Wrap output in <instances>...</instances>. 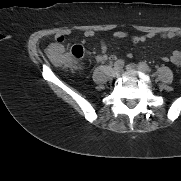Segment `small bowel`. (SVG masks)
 <instances>
[{
  "label": "small bowel",
  "instance_id": "c3829d8e",
  "mask_svg": "<svg viewBox=\"0 0 181 181\" xmlns=\"http://www.w3.org/2000/svg\"><path fill=\"white\" fill-rule=\"evenodd\" d=\"M66 35H67V33H65V32L59 33L56 36L57 43L61 44L62 41H59V39L65 38ZM114 36L116 38L123 39V38H127L129 36V34L124 31H117L114 33ZM153 36H154V34H152V33H148L145 35H133V36H131V41L133 44L144 43L147 40L151 39ZM180 36H181L180 33H175V32H169V33L162 35V37H164V38H176V37H180ZM85 37L93 38V37H95V33L93 31H86ZM96 59H97V61H106L108 59H114L113 55L108 54L107 46L104 41H101V54L98 55L96 57ZM164 60H170L176 66H181V51H177V50L173 51L171 53V55L169 56V58H164Z\"/></svg>",
  "mask_w": 181,
  "mask_h": 181
}]
</instances>
